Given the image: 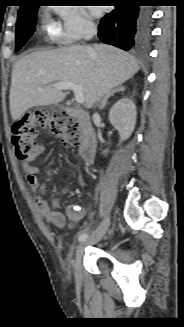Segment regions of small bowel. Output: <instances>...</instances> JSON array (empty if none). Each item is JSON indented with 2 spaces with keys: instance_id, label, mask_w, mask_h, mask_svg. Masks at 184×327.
Here are the masks:
<instances>
[{
  "instance_id": "c3829d8e",
  "label": "small bowel",
  "mask_w": 184,
  "mask_h": 327,
  "mask_svg": "<svg viewBox=\"0 0 184 327\" xmlns=\"http://www.w3.org/2000/svg\"><path fill=\"white\" fill-rule=\"evenodd\" d=\"M44 150L45 146L43 144H38L35 152L23 162L27 183L32 189L41 194L45 192V186L37 176V168L34 165V160L42 154ZM78 181L82 183L83 177L79 176ZM35 205L39 213L44 216L50 224L57 228L64 227L67 221L71 228H76L84 216V210L81 206L70 205L66 209V214H64L57 209L56 201L48 202L42 195L36 197Z\"/></svg>"
}]
</instances>
